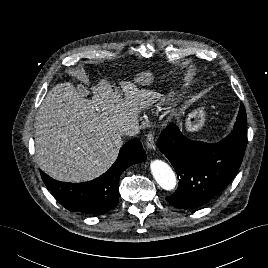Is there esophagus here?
I'll return each instance as SVG.
<instances>
[{"label": "esophagus", "mask_w": 268, "mask_h": 268, "mask_svg": "<svg viewBox=\"0 0 268 268\" xmlns=\"http://www.w3.org/2000/svg\"><path fill=\"white\" fill-rule=\"evenodd\" d=\"M145 145L148 150L155 149L154 144V134L152 132H148L145 139Z\"/></svg>", "instance_id": "34e87169"}]
</instances>
